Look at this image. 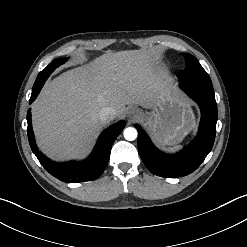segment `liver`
<instances>
[{"label":"liver","mask_w":247,"mask_h":247,"mask_svg":"<svg viewBox=\"0 0 247 247\" xmlns=\"http://www.w3.org/2000/svg\"><path fill=\"white\" fill-rule=\"evenodd\" d=\"M158 60L149 50L106 53L49 82L32 104L41 151L54 160L82 158L102 128V108L112 107L121 119L126 105L151 107L162 91L171 88Z\"/></svg>","instance_id":"1"}]
</instances>
